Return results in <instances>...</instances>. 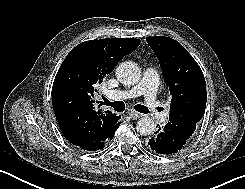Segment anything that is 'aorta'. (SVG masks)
Masks as SVG:
<instances>
[{
    "label": "aorta",
    "mask_w": 245,
    "mask_h": 189,
    "mask_svg": "<svg viewBox=\"0 0 245 189\" xmlns=\"http://www.w3.org/2000/svg\"><path fill=\"white\" fill-rule=\"evenodd\" d=\"M116 76L122 84L134 85L141 78V70L134 62L126 61L117 67ZM136 129L141 135H150L155 129V122L151 117L144 116L137 122Z\"/></svg>",
    "instance_id": "obj_1"
}]
</instances>
